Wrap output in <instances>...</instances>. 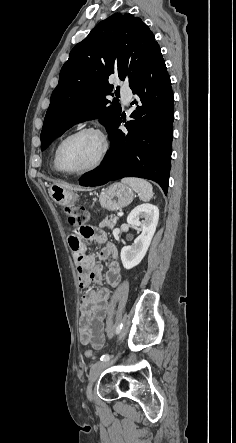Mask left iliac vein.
Instances as JSON below:
<instances>
[{"label": "left iliac vein", "instance_id": "4c4485c4", "mask_svg": "<svg viewBox=\"0 0 236 443\" xmlns=\"http://www.w3.org/2000/svg\"><path fill=\"white\" fill-rule=\"evenodd\" d=\"M119 354L116 356V358L112 361H99L92 365L89 373V384L87 386V398L91 401L93 399V393H92V387L94 382L97 380L99 375L109 366H111L116 359L118 358Z\"/></svg>", "mask_w": 236, "mask_h": 443}]
</instances>
